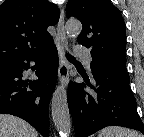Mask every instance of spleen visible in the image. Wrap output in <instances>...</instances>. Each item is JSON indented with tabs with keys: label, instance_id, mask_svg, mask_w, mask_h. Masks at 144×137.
<instances>
[{
	"label": "spleen",
	"instance_id": "3e777b00",
	"mask_svg": "<svg viewBox=\"0 0 144 137\" xmlns=\"http://www.w3.org/2000/svg\"><path fill=\"white\" fill-rule=\"evenodd\" d=\"M98 137H141V135L130 129L110 126L102 129Z\"/></svg>",
	"mask_w": 144,
	"mask_h": 137
}]
</instances>
